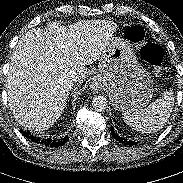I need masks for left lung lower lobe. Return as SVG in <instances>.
I'll list each match as a JSON object with an SVG mask.
<instances>
[{"label":"left lung lower lobe","instance_id":"obj_1","mask_svg":"<svg viewBox=\"0 0 183 183\" xmlns=\"http://www.w3.org/2000/svg\"><path fill=\"white\" fill-rule=\"evenodd\" d=\"M111 134H112V136H113L117 141H119L120 143H123V144H125V145L131 146V145H135V144L139 143V141H138V142H134V141H131V140H127V139L121 138L119 135H117V134L115 133V131H114L113 128H111Z\"/></svg>","mask_w":183,"mask_h":183}]
</instances>
